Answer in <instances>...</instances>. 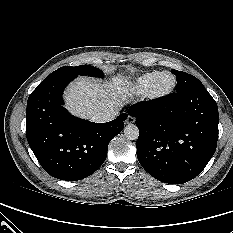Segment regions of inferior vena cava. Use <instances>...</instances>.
<instances>
[{"label":"inferior vena cava","mask_w":233,"mask_h":233,"mask_svg":"<svg viewBox=\"0 0 233 233\" xmlns=\"http://www.w3.org/2000/svg\"><path fill=\"white\" fill-rule=\"evenodd\" d=\"M117 115V112L111 111L107 113H97L95 114L91 120L94 122L102 123V122H108L113 120Z\"/></svg>","instance_id":"obj_1"}]
</instances>
